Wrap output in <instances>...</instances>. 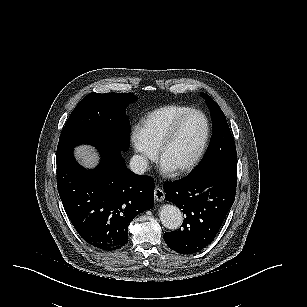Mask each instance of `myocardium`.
Wrapping results in <instances>:
<instances>
[{"label": "myocardium", "instance_id": "f54148a6", "mask_svg": "<svg viewBox=\"0 0 307 307\" xmlns=\"http://www.w3.org/2000/svg\"><path fill=\"white\" fill-rule=\"evenodd\" d=\"M190 118H196L198 121V124L200 125V128L202 130L201 134V140L198 146L197 151L193 155V157L184 164H178V163H172L170 162L166 157V150L167 148H170L172 140L174 135L176 134V131L180 129L182 124L185 123V121H188ZM206 115L199 111V110H191L187 111L184 114H181L173 120V124H171L170 128L168 129V135H165L163 137V144L159 145V149L156 153V160L159 163V165L166 171L175 173V172H184L189 169H191L194 164L197 162L199 157L202 155L205 146H206V140H207V134H208V125L206 123Z\"/></svg>", "mask_w": 307, "mask_h": 307}]
</instances>
